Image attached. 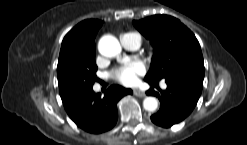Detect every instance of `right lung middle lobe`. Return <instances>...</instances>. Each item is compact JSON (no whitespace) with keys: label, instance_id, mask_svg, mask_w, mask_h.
Instances as JSON below:
<instances>
[{"label":"right lung middle lobe","instance_id":"1","mask_svg":"<svg viewBox=\"0 0 247 145\" xmlns=\"http://www.w3.org/2000/svg\"><path fill=\"white\" fill-rule=\"evenodd\" d=\"M96 71L94 53H82L74 49L60 51L57 76L61 98L92 88L97 80Z\"/></svg>","mask_w":247,"mask_h":145}]
</instances>
